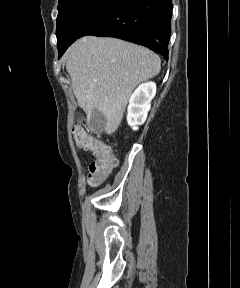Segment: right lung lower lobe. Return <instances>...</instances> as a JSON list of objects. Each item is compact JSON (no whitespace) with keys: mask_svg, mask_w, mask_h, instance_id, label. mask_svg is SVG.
<instances>
[{"mask_svg":"<svg viewBox=\"0 0 240 288\" xmlns=\"http://www.w3.org/2000/svg\"><path fill=\"white\" fill-rule=\"evenodd\" d=\"M171 15V0H113L80 37H116L148 47L168 59Z\"/></svg>","mask_w":240,"mask_h":288,"instance_id":"right-lung-lower-lobe-1","label":"right lung lower lobe"}]
</instances>
